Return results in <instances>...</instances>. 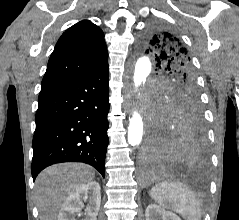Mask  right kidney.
<instances>
[{
	"mask_svg": "<svg viewBox=\"0 0 239 220\" xmlns=\"http://www.w3.org/2000/svg\"><path fill=\"white\" fill-rule=\"evenodd\" d=\"M83 200L88 201L84 220H96L101 204V189L95 181L78 187L67 197L58 214V220H76V215L82 210Z\"/></svg>",
	"mask_w": 239,
	"mask_h": 220,
	"instance_id": "1",
	"label": "right kidney"
}]
</instances>
